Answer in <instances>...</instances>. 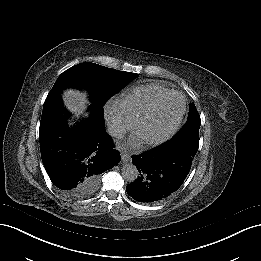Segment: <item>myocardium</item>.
Listing matches in <instances>:
<instances>
[{
    "label": "myocardium",
    "mask_w": 261,
    "mask_h": 261,
    "mask_svg": "<svg viewBox=\"0 0 261 261\" xmlns=\"http://www.w3.org/2000/svg\"><path fill=\"white\" fill-rule=\"evenodd\" d=\"M176 97H180L182 99V110L181 113L178 117V119L175 121V123L164 133L156 136V137H142L138 134V129L139 126L141 124V121L148 115L153 114L158 112L159 110H161L162 108L165 107V105L171 101L172 99L176 98ZM186 107H187V103H186V98L182 93L179 92H173L170 96H168L166 99H164L162 102H160L155 109H153L152 111L142 115L140 118H138L133 127H132V132H131V140L134 143V145L136 147H142L144 145H156V144H160L164 141H166L167 139H169L180 127L183 118L185 116L186 113Z\"/></svg>",
    "instance_id": "1"
}]
</instances>
